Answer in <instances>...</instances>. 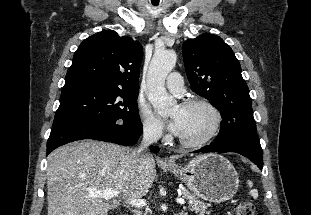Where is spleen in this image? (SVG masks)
Instances as JSON below:
<instances>
[{
	"instance_id": "spleen-1",
	"label": "spleen",
	"mask_w": 311,
	"mask_h": 215,
	"mask_svg": "<svg viewBox=\"0 0 311 215\" xmlns=\"http://www.w3.org/2000/svg\"><path fill=\"white\" fill-rule=\"evenodd\" d=\"M247 184H248L249 187H252V186H253V183H252L250 180L247 181ZM250 195H251L254 199H256V198L258 197V191H257L256 189H252V190H250Z\"/></svg>"
}]
</instances>
